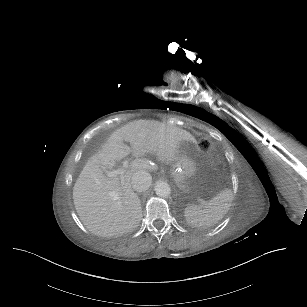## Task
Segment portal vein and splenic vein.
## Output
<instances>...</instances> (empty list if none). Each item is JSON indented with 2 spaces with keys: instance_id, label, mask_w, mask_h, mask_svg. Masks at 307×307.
Returning a JSON list of instances; mask_svg holds the SVG:
<instances>
[{
  "instance_id": "1",
  "label": "portal vein and splenic vein",
  "mask_w": 307,
  "mask_h": 307,
  "mask_svg": "<svg viewBox=\"0 0 307 307\" xmlns=\"http://www.w3.org/2000/svg\"><path fill=\"white\" fill-rule=\"evenodd\" d=\"M129 163V159L128 158H123L122 159V166L126 167ZM107 176L108 177H116L118 175L123 176L124 175V170L123 169H116V170H112V171H107Z\"/></svg>"
}]
</instances>
